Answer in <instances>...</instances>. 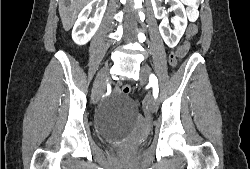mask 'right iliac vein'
Returning <instances> with one entry per match:
<instances>
[{"label": "right iliac vein", "instance_id": "63e3f726", "mask_svg": "<svg viewBox=\"0 0 250 169\" xmlns=\"http://www.w3.org/2000/svg\"><path fill=\"white\" fill-rule=\"evenodd\" d=\"M108 78V74L106 71H101L99 75L97 76L95 82H94V87L92 89V95H91V100L93 103H97L98 99L100 97V94L102 93L105 82L104 80Z\"/></svg>", "mask_w": 250, "mask_h": 169}]
</instances>
